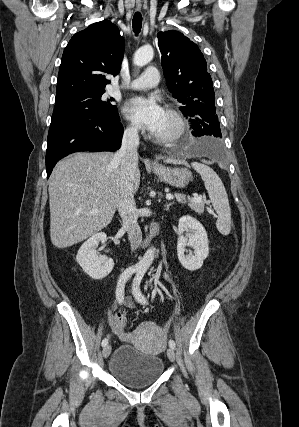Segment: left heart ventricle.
Masks as SVG:
<instances>
[{
    "mask_svg": "<svg viewBox=\"0 0 299 427\" xmlns=\"http://www.w3.org/2000/svg\"><path fill=\"white\" fill-rule=\"evenodd\" d=\"M174 129V122L168 114H164L163 120L155 134H166Z\"/></svg>",
    "mask_w": 299,
    "mask_h": 427,
    "instance_id": "1",
    "label": "left heart ventricle"
}]
</instances>
